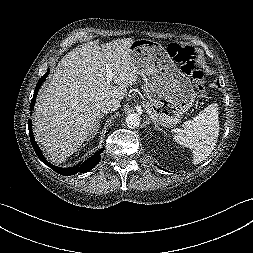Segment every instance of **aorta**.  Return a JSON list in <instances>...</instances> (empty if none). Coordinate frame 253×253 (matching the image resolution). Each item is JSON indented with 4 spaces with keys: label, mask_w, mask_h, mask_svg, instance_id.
I'll return each mask as SVG.
<instances>
[{
    "label": "aorta",
    "mask_w": 253,
    "mask_h": 253,
    "mask_svg": "<svg viewBox=\"0 0 253 253\" xmlns=\"http://www.w3.org/2000/svg\"><path fill=\"white\" fill-rule=\"evenodd\" d=\"M126 123L130 128L138 127L140 124V116L137 113L129 114L126 117Z\"/></svg>",
    "instance_id": "762f6f07"
}]
</instances>
